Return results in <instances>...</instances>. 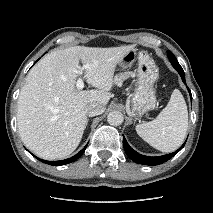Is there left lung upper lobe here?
Masks as SVG:
<instances>
[{
	"label": "left lung upper lobe",
	"instance_id": "left-lung-upper-lobe-1",
	"mask_svg": "<svg viewBox=\"0 0 213 213\" xmlns=\"http://www.w3.org/2000/svg\"><path fill=\"white\" fill-rule=\"evenodd\" d=\"M169 60L172 64V66L178 71V70H183L182 67L180 66V64L178 63L177 59L175 58V56L173 55V53L171 51L167 52Z\"/></svg>",
	"mask_w": 213,
	"mask_h": 213
}]
</instances>
